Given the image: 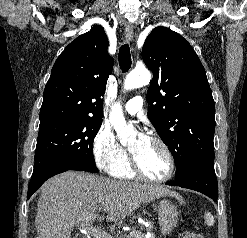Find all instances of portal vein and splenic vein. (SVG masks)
Listing matches in <instances>:
<instances>
[{
    "mask_svg": "<svg viewBox=\"0 0 247 238\" xmlns=\"http://www.w3.org/2000/svg\"><path fill=\"white\" fill-rule=\"evenodd\" d=\"M96 215H92L89 219L82 222V229L93 235L95 238H112L108 234L104 233L103 231L91 226L90 221L95 217ZM136 232V230H133L129 233V235Z\"/></svg>",
    "mask_w": 247,
    "mask_h": 238,
    "instance_id": "18ae733b",
    "label": "portal vein and splenic vein"
}]
</instances>
